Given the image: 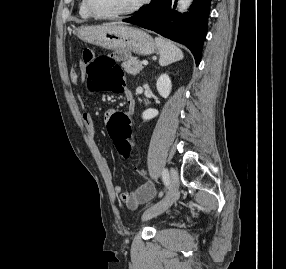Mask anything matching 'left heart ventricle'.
I'll return each instance as SVG.
<instances>
[{
  "label": "left heart ventricle",
  "instance_id": "1",
  "mask_svg": "<svg viewBox=\"0 0 286 269\" xmlns=\"http://www.w3.org/2000/svg\"><path fill=\"white\" fill-rule=\"evenodd\" d=\"M139 0H91V6L99 14H114L133 7Z\"/></svg>",
  "mask_w": 286,
  "mask_h": 269
}]
</instances>
